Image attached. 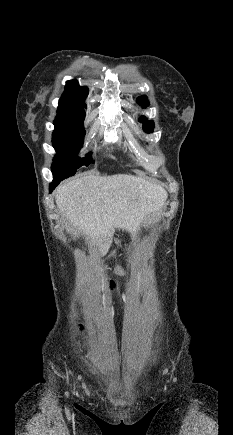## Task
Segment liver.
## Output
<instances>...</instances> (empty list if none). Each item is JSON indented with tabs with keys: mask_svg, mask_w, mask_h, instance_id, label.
<instances>
[{
	"mask_svg": "<svg viewBox=\"0 0 233 435\" xmlns=\"http://www.w3.org/2000/svg\"><path fill=\"white\" fill-rule=\"evenodd\" d=\"M167 196L162 186L137 176L86 175L59 185L55 202L70 224L104 255L115 229L135 238L143 223L163 208Z\"/></svg>",
	"mask_w": 233,
	"mask_h": 435,
	"instance_id": "obj_1",
	"label": "liver"
}]
</instances>
